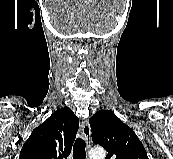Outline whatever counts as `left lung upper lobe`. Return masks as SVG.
<instances>
[{
  "instance_id": "obj_1",
  "label": "left lung upper lobe",
  "mask_w": 173,
  "mask_h": 159,
  "mask_svg": "<svg viewBox=\"0 0 173 159\" xmlns=\"http://www.w3.org/2000/svg\"><path fill=\"white\" fill-rule=\"evenodd\" d=\"M92 140L107 151L106 159H148L135 132L113 112L100 110L90 119Z\"/></svg>"
}]
</instances>
